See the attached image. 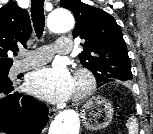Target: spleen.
<instances>
[{
	"label": "spleen",
	"mask_w": 153,
	"mask_h": 134,
	"mask_svg": "<svg viewBox=\"0 0 153 134\" xmlns=\"http://www.w3.org/2000/svg\"><path fill=\"white\" fill-rule=\"evenodd\" d=\"M129 134H138V124L134 117L129 118L126 124Z\"/></svg>",
	"instance_id": "spleen-1"
}]
</instances>
